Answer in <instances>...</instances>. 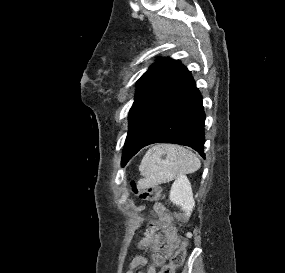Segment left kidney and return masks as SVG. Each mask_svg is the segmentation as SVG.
<instances>
[{"label":"left kidney","instance_id":"left-kidney-1","mask_svg":"<svg viewBox=\"0 0 285 273\" xmlns=\"http://www.w3.org/2000/svg\"><path fill=\"white\" fill-rule=\"evenodd\" d=\"M169 198L171 202L180 206L185 217H190L195 206L191 184L186 176L179 177L172 185Z\"/></svg>","mask_w":285,"mask_h":273}]
</instances>
